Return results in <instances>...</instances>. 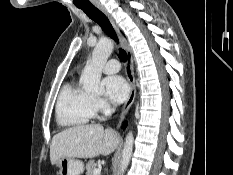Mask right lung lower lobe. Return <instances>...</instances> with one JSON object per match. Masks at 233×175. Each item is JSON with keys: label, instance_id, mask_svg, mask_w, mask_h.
Returning <instances> with one entry per match:
<instances>
[{"label": "right lung lower lobe", "instance_id": "1", "mask_svg": "<svg viewBox=\"0 0 233 175\" xmlns=\"http://www.w3.org/2000/svg\"><path fill=\"white\" fill-rule=\"evenodd\" d=\"M127 123L124 124V127H126Z\"/></svg>", "mask_w": 233, "mask_h": 175}]
</instances>
